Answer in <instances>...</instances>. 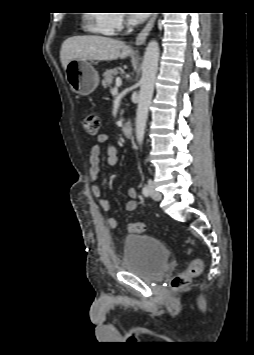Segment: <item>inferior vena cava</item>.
<instances>
[{"label":"inferior vena cava","instance_id":"1","mask_svg":"<svg viewBox=\"0 0 254 355\" xmlns=\"http://www.w3.org/2000/svg\"><path fill=\"white\" fill-rule=\"evenodd\" d=\"M130 31H132V28H131V27L128 28V32H130Z\"/></svg>","mask_w":254,"mask_h":355}]
</instances>
